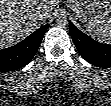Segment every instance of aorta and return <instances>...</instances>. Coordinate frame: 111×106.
<instances>
[{
  "label": "aorta",
  "mask_w": 111,
  "mask_h": 106,
  "mask_svg": "<svg viewBox=\"0 0 111 106\" xmlns=\"http://www.w3.org/2000/svg\"><path fill=\"white\" fill-rule=\"evenodd\" d=\"M57 25L60 27H65L68 25V20L66 17H59L57 19Z\"/></svg>",
  "instance_id": "762f6f07"
}]
</instances>
